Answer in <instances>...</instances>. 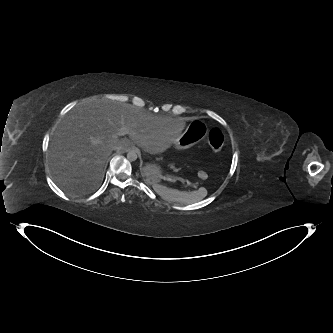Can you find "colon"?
Listing matches in <instances>:
<instances>
[{"instance_id":"1","label":"colon","mask_w":333,"mask_h":333,"mask_svg":"<svg viewBox=\"0 0 333 333\" xmlns=\"http://www.w3.org/2000/svg\"><path fill=\"white\" fill-rule=\"evenodd\" d=\"M224 143V136L220 129L218 128H212L208 133V144L211 148V150L215 153H218L221 151L222 146ZM198 176L201 179H204L206 177L205 171H199Z\"/></svg>"}]
</instances>
